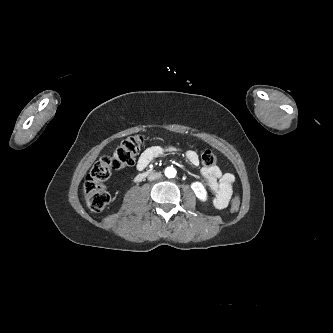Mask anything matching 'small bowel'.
Returning a JSON list of instances; mask_svg holds the SVG:
<instances>
[{
	"label": "small bowel",
	"instance_id": "obj_1",
	"mask_svg": "<svg viewBox=\"0 0 333 333\" xmlns=\"http://www.w3.org/2000/svg\"><path fill=\"white\" fill-rule=\"evenodd\" d=\"M177 151H179V148L173 145H156L149 147L140 155L136 168L139 171H143L155 158ZM185 157L187 161L193 165L199 163L198 154L193 150H187L185 152ZM201 174L214 194V206L217 209L225 208L232 196V189L235 181L234 175L231 173H222L221 169L215 165L202 167Z\"/></svg>",
	"mask_w": 333,
	"mask_h": 333
}]
</instances>
